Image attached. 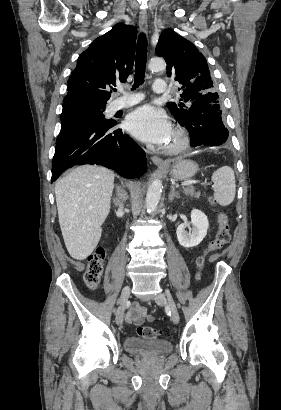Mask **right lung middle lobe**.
Wrapping results in <instances>:
<instances>
[{"mask_svg":"<svg viewBox=\"0 0 281 410\" xmlns=\"http://www.w3.org/2000/svg\"><path fill=\"white\" fill-rule=\"evenodd\" d=\"M105 106L77 104L63 107L61 114V131L64 134L69 130L87 123L108 122L103 111Z\"/></svg>","mask_w":281,"mask_h":410,"instance_id":"obj_1","label":"right lung middle lobe"}]
</instances>
